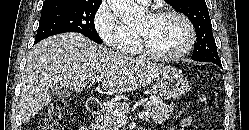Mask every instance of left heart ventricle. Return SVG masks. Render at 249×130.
I'll return each instance as SVG.
<instances>
[{
	"mask_svg": "<svg viewBox=\"0 0 249 130\" xmlns=\"http://www.w3.org/2000/svg\"><path fill=\"white\" fill-rule=\"evenodd\" d=\"M152 49L161 54H173L183 48L188 40L185 24L173 16L152 18L149 14L138 24Z\"/></svg>",
	"mask_w": 249,
	"mask_h": 130,
	"instance_id": "1",
	"label": "left heart ventricle"
}]
</instances>
